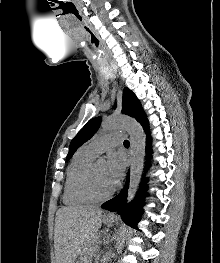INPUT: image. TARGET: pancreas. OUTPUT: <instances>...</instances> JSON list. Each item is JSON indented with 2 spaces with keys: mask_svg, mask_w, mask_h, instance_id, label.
Segmentation results:
<instances>
[{
  "mask_svg": "<svg viewBox=\"0 0 220 263\" xmlns=\"http://www.w3.org/2000/svg\"><path fill=\"white\" fill-rule=\"evenodd\" d=\"M96 240H95V243L94 244H92V245H90V247L87 249V253L88 254H91V253H93L94 251H95V249H96Z\"/></svg>",
  "mask_w": 220,
  "mask_h": 263,
  "instance_id": "cf45deb5",
  "label": "pancreas"
}]
</instances>
